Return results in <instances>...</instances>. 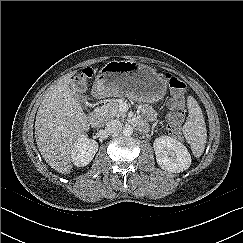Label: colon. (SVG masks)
<instances>
[{
    "label": "colon",
    "instance_id": "colon-1",
    "mask_svg": "<svg viewBox=\"0 0 243 243\" xmlns=\"http://www.w3.org/2000/svg\"><path fill=\"white\" fill-rule=\"evenodd\" d=\"M93 71L91 68L83 69L77 76L78 82H86L92 77ZM167 80L173 93L171 100L172 112L167 118V130L168 133L173 137H180L182 132V123L184 120V111L182 110L183 105V93L185 91V83L178 77L168 74Z\"/></svg>",
    "mask_w": 243,
    "mask_h": 243
}]
</instances>
